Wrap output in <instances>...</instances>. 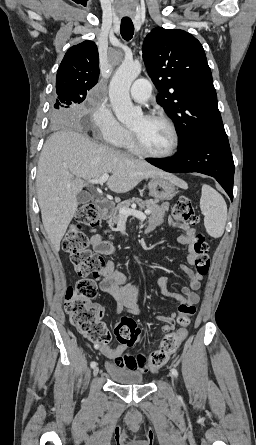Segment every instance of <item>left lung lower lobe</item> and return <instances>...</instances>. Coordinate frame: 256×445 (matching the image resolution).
Listing matches in <instances>:
<instances>
[{
    "mask_svg": "<svg viewBox=\"0 0 256 445\" xmlns=\"http://www.w3.org/2000/svg\"><path fill=\"white\" fill-rule=\"evenodd\" d=\"M146 160L171 173L199 172L212 176L233 199L234 162L225 131L196 134L179 146L174 157Z\"/></svg>",
    "mask_w": 256,
    "mask_h": 445,
    "instance_id": "left-lung-lower-lobe-1",
    "label": "left lung lower lobe"
}]
</instances>
